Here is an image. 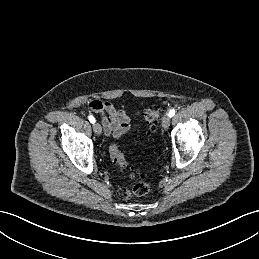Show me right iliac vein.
<instances>
[{
  "label": "right iliac vein",
  "mask_w": 259,
  "mask_h": 259,
  "mask_svg": "<svg viewBox=\"0 0 259 259\" xmlns=\"http://www.w3.org/2000/svg\"><path fill=\"white\" fill-rule=\"evenodd\" d=\"M93 130L97 135H101L102 133V127L99 123H94Z\"/></svg>",
  "instance_id": "1"
}]
</instances>
